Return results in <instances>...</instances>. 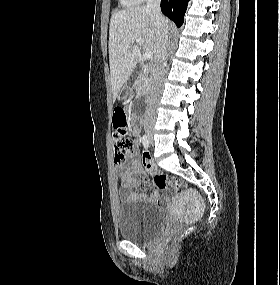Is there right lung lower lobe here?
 Returning <instances> with one entry per match:
<instances>
[{"label":"right lung lower lobe","instance_id":"right-lung-lower-lobe-1","mask_svg":"<svg viewBox=\"0 0 280 285\" xmlns=\"http://www.w3.org/2000/svg\"><path fill=\"white\" fill-rule=\"evenodd\" d=\"M189 0H161V11L180 27L184 21V14Z\"/></svg>","mask_w":280,"mask_h":285}]
</instances>
